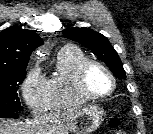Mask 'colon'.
I'll return each instance as SVG.
<instances>
[{"instance_id": "obj_1", "label": "colon", "mask_w": 153, "mask_h": 134, "mask_svg": "<svg viewBox=\"0 0 153 134\" xmlns=\"http://www.w3.org/2000/svg\"><path fill=\"white\" fill-rule=\"evenodd\" d=\"M119 121L117 118H113L110 122V126L115 129L114 134H126L123 130L118 129Z\"/></svg>"}]
</instances>
